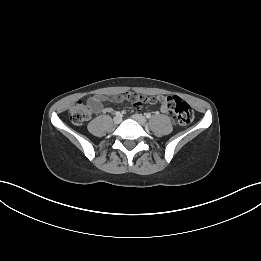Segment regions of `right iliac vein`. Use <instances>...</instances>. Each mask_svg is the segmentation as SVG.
Here are the masks:
<instances>
[{"mask_svg":"<svg viewBox=\"0 0 261 261\" xmlns=\"http://www.w3.org/2000/svg\"><path fill=\"white\" fill-rule=\"evenodd\" d=\"M113 121H114L115 124H119L122 121V117L121 116H115L113 118Z\"/></svg>","mask_w":261,"mask_h":261,"instance_id":"1","label":"right iliac vein"}]
</instances>
